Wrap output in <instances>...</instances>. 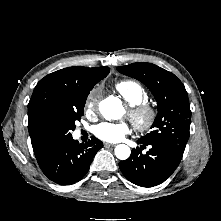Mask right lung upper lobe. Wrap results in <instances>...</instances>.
<instances>
[{"label": "right lung upper lobe", "instance_id": "1", "mask_svg": "<svg viewBox=\"0 0 221 221\" xmlns=\"http://www.w3.org/2000/svg\"><path fill=\"white\" fill-rule=\"evenodd\" d=\"M108 73V67L73 66L53 72L38 82L28 104V129L35 156L53 142L46 130L47 122L67 101L93 88Z\"/></svg>", "mask_w": 221, "mask_h": 221}]
</instances>
